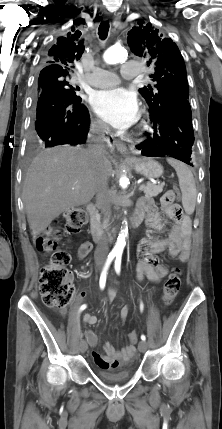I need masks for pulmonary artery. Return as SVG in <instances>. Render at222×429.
Returning <instances> with one entry per match:
<instances>
[{
	"label": "pulmonary artery",
	"mask_w": 222,
	"mask_h": 429,
	"mask_svg": "<svg viewBox=\"0 0 222 429\" xmlns=\"http://www.w3.org/2000/svg\"><path fill=\"white\" fill-rule=\"evenodd\" d=\"M140 73L139 63L134 61L124 62L121 65V76L125 79H132ZM85 81L97 88L111 87L118 83L117 74L101 68H94L93 73L85 78Z\"/></svg>",
	"instance_id": "e3ab8cb5"
}]
</instances>
